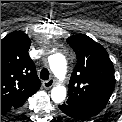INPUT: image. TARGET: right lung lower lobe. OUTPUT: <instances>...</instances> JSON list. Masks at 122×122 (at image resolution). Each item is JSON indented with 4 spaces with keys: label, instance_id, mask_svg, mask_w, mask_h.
<instances>
[{
    "label": "right lung lower lobe",
    "instance_id": "right-lung-lower-lobe-1",
    "mask_svg": "<svg viewBox=\"0 0 122 122\" xmlns=\"http://www.w3.org/2000/svg\"><path fill=\"white\" fill-rule=\"evenodd\" d=\"M11 111H14V110L13 109H9V110H5V111H1V112H2V114H7V113H9Z\"/></svg>",
    "mask_w": 122,
    "mask_h": 122
}]
</instances>
